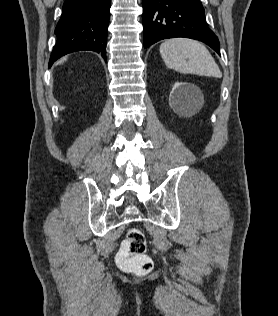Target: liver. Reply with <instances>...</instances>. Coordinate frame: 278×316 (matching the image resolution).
I'll use <instances>...</instances> for the list:
<instances>
[{
  "label": "liver",
  "mask_w": 278,
  "mask_h": 316,
  "mask_svg": "<svg viewBox=\"0 0 278 316\" xmlns=\"http://www.w3.org/2000/svg\"><path fill=\"white\" fill-rule=\"evenodd\" d=\"M66 60V58H63L59 63H63Z\"/></svg>",
  "instance_id": "liver-1"
}]
</instances>
